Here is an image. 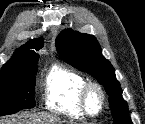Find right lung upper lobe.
Segmentation results:
<instances>
[{"label":"right lung upper lobe","mask_w":145,"mask_h":124,"mask_svg":"<svg viewBox=\"0 0 145 124\" xmlns=\"http://www.w3.org/2000/svg\"><path fill=\"white\" fill-rule=\"evenodd\" d=\"M43 45V38H38L30 40L25 45L18 48L12 58L3 65L0 74L17 73L32 67L39 60V54L33 49L39 50Z\"/></svg>","instance_id":"obj_1"}]
</instances>
